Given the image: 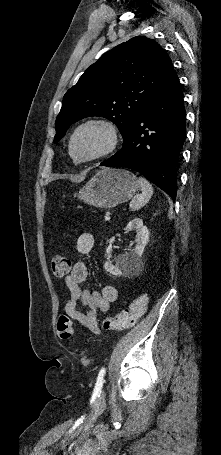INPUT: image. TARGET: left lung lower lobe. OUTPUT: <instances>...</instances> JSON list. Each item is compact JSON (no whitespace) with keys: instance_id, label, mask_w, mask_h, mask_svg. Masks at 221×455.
I'll return each mask as SVG.
<instances>
[{"instance_id":"obj_1","label":"left lung lower lobe","mask_w":221,"mask_h":455,"mask_svg":"<svg viewBox=\"0 0 221 455\" xmlns=\"http://www.w3.org/2000/svg\"><path fill=\"white\" fill-rule=\"evenodd\" d=\"M185 135L183 93L173 70L137 115L121 150L101 165L133 169L175 200L177 166Z\"/></svg>"}]
</instances>
